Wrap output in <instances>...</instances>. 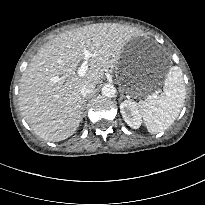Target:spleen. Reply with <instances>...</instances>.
I'll return each instance as SVG.
<instances>
[{"label": "spleen", "mask_w": 205, "mask_h": 205, "mask_svg": "<svg viewBox=\"0 0 205 205\" xmlns=\"http://www.w3.org/2000/svg\"><path fill=\"white\" fill-rule=\"evenodd\" d=\"M186 96L183 73L180 67L170 68L159 96H149L140 103V114L147 130L157 134L168 129L179 116Z\"/></svg>", "instance_id": "obj_1"}]
</instances>
